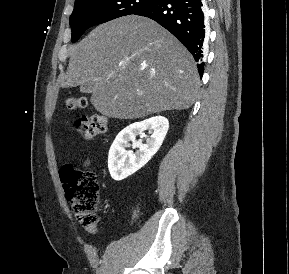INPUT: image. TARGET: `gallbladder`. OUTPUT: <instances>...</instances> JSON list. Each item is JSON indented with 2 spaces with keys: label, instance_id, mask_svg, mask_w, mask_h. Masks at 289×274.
<instances>
[{
  "label": "gallbladder",
  "instance_id": "bac80fb5",
  "mask_svg": "<svg viewBox=\"0 0 289 274\" xmlns=\"http://www.w3.org/2000/svg\"><path fill=\"white\" fill-rule=\"evenodd\" d=\"M91 89H92V83H86V84H83L82 86H81V92H83V93H87V92H90L91 91Z\"/></svg>",
  "mask_w": 289,
  "mask_h": 274
}]
</instances>
